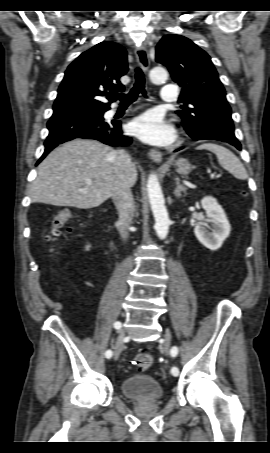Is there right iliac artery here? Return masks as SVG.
Here are the masks:
<instances>
[{"label": "right iliac artery", "instance_id": "right-iliac-artery-1", "mask_svg": "<svg viewBox=\"0 0 270 453\" xmlns=\"http://www.w3.org/2000/svg\"><path fill=\"white\" fill-rule=\"evenodd\" d=\"M114 327H115L116 329H120V328H121V323L118 322V321L115 322V323H114ZM105 356H106L107 358H110V357L112 356V351H111L110 349L107 350L106 353H105Z\"/></svg>", "mask_w": 270, "mask_h": 453}]
</instances>
